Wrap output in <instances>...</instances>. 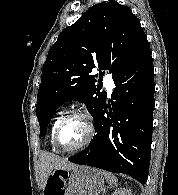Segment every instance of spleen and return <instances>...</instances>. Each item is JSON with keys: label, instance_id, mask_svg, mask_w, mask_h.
<instances>
[{"label": "spleen", "instance_id": "1", "mask_svg": "<svg viewBox=\"0 0 178 195\" xmlns=\"http://www.w3.org/2000/svg\"><path fill=\"white\" fill-rule=\"evenodd\" d=\"M104 174L106 181L108 182L109 185L113 186L117 183V178L114 175L107 172H104Z\"/></svg>", "mask_w": 178, "mask_h": 195}]
</instances>
